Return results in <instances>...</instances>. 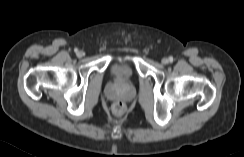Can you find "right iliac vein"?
I'll return each mask as SVG.
<instances>
[{
	"label": "right iliac vein",
	"mask_w": 244,
	"mask_h": 157,
	"mask_svg": "<svg viewBox=\"0 0 244 157\" xmlns=\"http://www.w3.org/2000/svg\"><path fill=\"white\" fill-rule=\"evenodd\" d=\"M84 55V53L82 52V51H79L78 53H77V56L78 57H82Z\"/></svg>",
	"instance_id": "right-iliac-vein-1"
}]
</instances>
